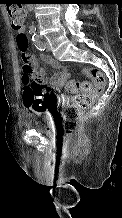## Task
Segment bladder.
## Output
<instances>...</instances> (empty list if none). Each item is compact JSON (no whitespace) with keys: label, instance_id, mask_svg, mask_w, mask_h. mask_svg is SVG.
Segmentation results:
<instances>
[{"label":"bladder","instance_id":"31cf9c89","mask_svg":"<svg viewBox=\"0 0 122 218\" xmlns=\"http://www.w3.org/2000/svg\"><path fill=\"white\" fill-rule=\"evenodd\" d=\"M24 126L45 132L49 129L50 122L42 112H30L24 115Z\"/></svg>","mask_w":122,"mask_h":218}]
</instances>
